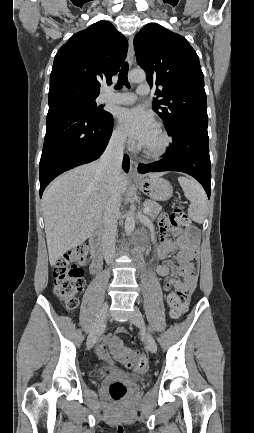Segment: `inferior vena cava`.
I'll return each instance as SVG.
<instances>
[{
    "label": "inferior vena cava",
    "mask_w": 254,
    "mask_h": 433,
    "mask_svg": "<svg viewBox=\"0 0 254 433\" xmlns=\"http://www.w3.org/2000/svg\"><path fill=\"white\" fill-rule=\"evenodd\" d=\"M125 136L122 134L111 137L106 150L99 161V168L106 172L110 184V197L103 214L102 247L107 264L115 258V236L117 219L121 204L119 176L121 173Z\"/></svg>",
    "instance_id": "obj_1"
}]
</instances>
